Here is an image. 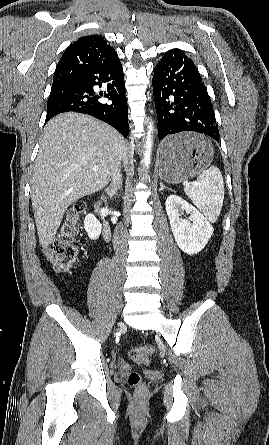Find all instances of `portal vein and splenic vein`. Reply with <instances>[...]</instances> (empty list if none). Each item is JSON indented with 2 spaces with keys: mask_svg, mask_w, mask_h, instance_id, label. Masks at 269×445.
<instances>
[{
  "mask_svg": "<svg viewBox=\"0 0 269 445\" xmlns=\"http://www.w3.org/2000/svg\"><path fill=\"white\" fill-rule=\"evenodd\" d=\"M93 170H94V171H97V170H98V167H94Z\"/></svg>",
  "mask_w": 269,
  "mask_h": 445,
  "instance_id": "1",
  "label": "portal vein and splenic vein"
}]
</instances>
